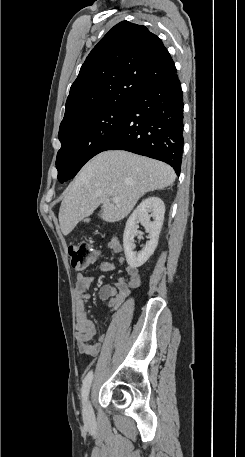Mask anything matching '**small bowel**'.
Instances as JSON below:
<instances>
[{
	"mask_svg": "<svg viewBox=\"0 0 245 457\" xmlns=\"http://www.w3.org/2000/svg\"><path fill=\"white\" fill-rule=\"evenodd\" d=\"M109 246L114 252L120 253L122 251V246L117 241H111ZM120 263H123L122 258L120 259ZM98 268L102 272H108L115 268V264L113 262H103ZM126 272L129 276L128 280L120 277L116 280L115 284H104L99 291L100 299L107 301L113 313L119 310L125 299L129 296L131 289L139 287L142 282L141 274L137 267L128 264L126 266ZM91 282L92 278L90 276L82 273L76 275V341L80 353L96 356L103 348L113 349L121 346L126 336V328L111 325L96 342L91 343V340L98 331L97 325L89 318L87 312V303L90 298L88 290Z\"/></svg>",
	"mask_w": 245,
	"mask_h": 457,
	"instance_id": "small-bowel-1",
	"label": "small bowel"
}]
</instances>
